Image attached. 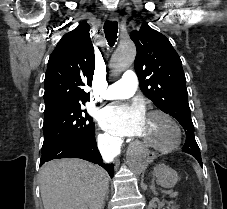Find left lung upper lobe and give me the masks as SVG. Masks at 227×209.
<instances>
[{
  "mask_svg": "<svg viewBox=\"0 0 227 209\" xmlns=\"http://www.w3.org/2000/svg\"><path fill=\"white\" fill-rule=\"evenodd\" d=\"M130 38L137 47L135 71L140 89L163 112L179 121L186 133L183 152L200 155L194 136L182 62L170 41L144 22Z\"/></svg>",
  "mask_w": 227,
  "mask_h": 209,
  "instance_id": "5c2ea615",
  "label": "left lung upper lobe"
}]
</instances>
